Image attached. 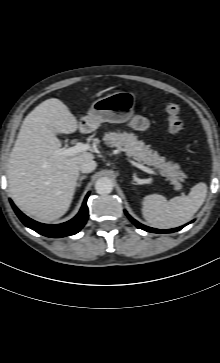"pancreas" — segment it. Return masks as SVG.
Listing matches in <instances>:
<instances>
[{
  "mask_svg": "<svg viewBox=\"0 0 220 363\" xmlns=\"http://www.w3.org/2000/svg\"><path fill=\"white\" fill-rule=\"evenodd\" d=\"M104 141L109 147H116L124 151L128 157H132L140 164L154 166L165 174L177 187L180 181L186 178V175L180 170L176 163L166 162L164 157L151 150L143 141L137 139L133 133L127 132H109L105 134Z\"/></svg>",
  "mask_w": 220,
  "mask_h": 363,
  "instance_id": "1",
  "label": "pancreas"
}]
</instances>
